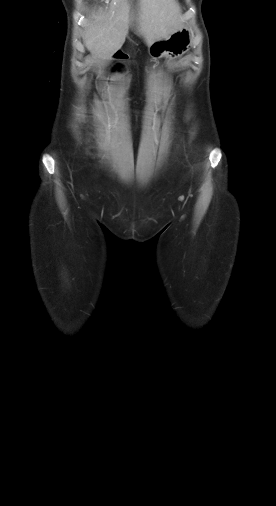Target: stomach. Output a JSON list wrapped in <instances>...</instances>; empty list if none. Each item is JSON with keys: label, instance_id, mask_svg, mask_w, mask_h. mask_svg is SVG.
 Returning a JSON list of instances; mask_svg holds the SVG:
<instances>
[{"label": "stomach", "instance_id": "obj_1", "mask_svg": "<svg viewBox=\"0 0 276 506\" xmlns=\"http://www.w3.org/2000/svg\"><path fill=\"white\" fill-rule=\"evenodd\" d=\"M192 38L191 31L186 27H182L168 37L161 38L150 44L149 54L154 59L163 56L177 58L189 50L192 45Z\"/></svg>", "mask_w": 276, "mask_h": 506}]
</instances>
